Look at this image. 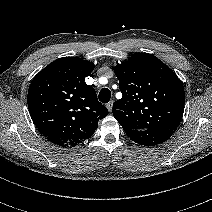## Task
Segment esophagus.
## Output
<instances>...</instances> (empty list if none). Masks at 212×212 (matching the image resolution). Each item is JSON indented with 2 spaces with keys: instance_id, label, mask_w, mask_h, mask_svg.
Listing matches in <instances>:
<instances>
[{
  "instance_id": "esophagus-1",
  "label": "esophagus",
  "mask_w": 212,
  "mask_h": 212,
  "mask_svg": "<svg viewBox=\"0 0 212 212\" xmlns=\"http://www.w3.org/2000/svg\"><path fill=\"white\" fill-rule=\"evenodd\" d=\"M106 107H107L108 111L111 112L112 108H113V101H110L109 103H107Z\"/></svg>"
}]
</instances>
